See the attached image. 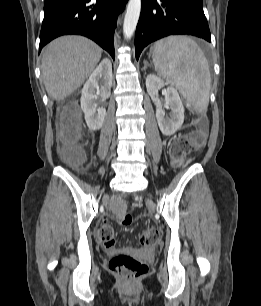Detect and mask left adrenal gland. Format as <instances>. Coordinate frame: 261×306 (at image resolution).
Listing matches in <instances>:
<instances>
[{
  "mask_svg": "<svg viewBox=\"0 0 261 306\" xmlns=\"http://www.w3.org/2000/svg\"><path fill=\"white\" fill-rule=\"evenodd\" d=\"M148 66L151 67V65L147 61H145L144 69H146Z\"/></svg>",
  "mask_w": 261,
  "mask_h": 306,
  "instance_id": "left-adrenal-gland-1",
  "label": "left adrenal gland"
}]
</instances>
